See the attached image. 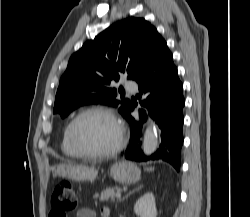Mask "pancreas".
<instances>
[{"label":"pancreas","instance_id":"cf45deb5","mask_svg":"<svg viewBox=\"0 0 250 217\" xmlns=\"http://www.w3.org/2000/svg\"><path fill=\"white\" fill-rule=\"evenodd\" d=\"M120 192L121 189L119 187L106 188L101 192L100 196L98 194H95L94 198H99L100 201L114 200L116 194Z\"/></svg>","mask_w":250,"mask_h":217}]
</instances>
